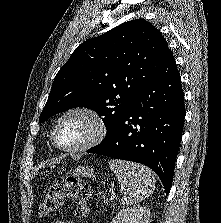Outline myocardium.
I'll list each match as a JSON object with an SVG mask.
<instances>
[{
    "label": "myocardium",
    "instance_id": "myocardium-1",
    "mask_svg": "<svg viewBox=\"0 0 221 223\" xmlns=\"http://www.w3.org/2000/svg\"><path fill=\"white\" fill-rule=\"evenodd\" d=\"M73 114H81L88 117L94 125L93 132L89 136V138H87L85 141H83L78 145L61 146L60 144H58L56 140V131L62 120H64L67 116ZM107 131H108L107 123L98 112L89 107L76 106L65 110L58 116L51 130V141L53 145L61 151H66V152L84 151L99 144L105 138Z\"/></svg>",
    "mask_w": 221,
    "mask_h": 223
}]
</instances>
